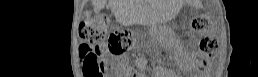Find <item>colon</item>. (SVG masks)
Returning a JSON list of instances; mask_svg holds the SVG:
<instances>
[{"label": "colon", "mask_w": 258, "mask_h": 77, "mask_svg": "<svg viewBox=\"0 0 258 77\" xmlns=\"http://www.w3.org/2000/svg\"><path fill=\"white\" fill-rule=\"evenodd\" d=\"M194 30L201 36L199 48L207 58H213L218 50L217 38L212 34L213 24L207 16L200 15L193 20ZM110 22L104 15L90 16L82 25L80 33L83 43L80 45V55L83 60L85 77H100L102 69L99 54L107 47L117 54L126 51L134 41V34L129 30L109 32Z\"/></svg>", "instance_id": "1"}]
</instances>
